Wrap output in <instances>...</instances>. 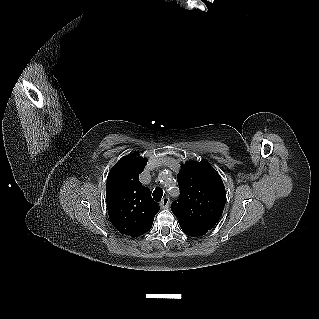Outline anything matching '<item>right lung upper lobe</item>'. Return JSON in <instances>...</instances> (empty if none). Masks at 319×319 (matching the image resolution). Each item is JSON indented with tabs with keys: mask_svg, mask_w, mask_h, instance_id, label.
<instances>
[{
	"mask_svg": "<svg viewBox=\"0 0 319 319\" xmlns=\"http://www.w3.org/2000/svg\"><path fill=\"white\" fill-rule=\"evenodd\" d=\"M147 159L135 153L120 159L107 177L106 202L110 220L121 234L133 238L150 230L159 211L151 191L139 181Z\"/></svg>",
	"mask_w": 319,
	"mask_h": 319,
	"instance_id": "right-lung-upper-lobe-1",
	"label": "right lung upper lobe"
}]
</instances>
